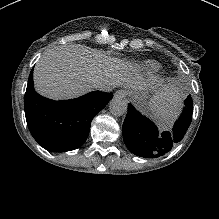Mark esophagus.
<instances>
[{"instance_id":"34e87169","label":"esophagus","mask_w":219,"mask_h":219,"mask_svg":"<svg viewBox=\"0 0 219 219\" xmlns=\"http://www.w3.org/2000/svg\"><path fill=\"white\" fill-rule=\"evenodd\" d=\"M126 96H127V91L124 89L118 90L114 94L115 99H123Z\"/></svg>"}]
</instances>
